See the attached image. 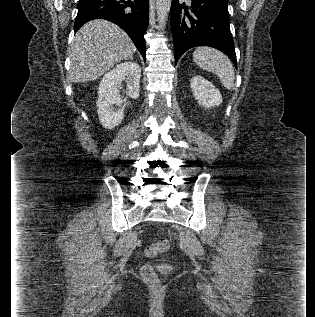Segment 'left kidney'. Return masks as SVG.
<instances>
[{
  "label": "left kidney",
  "instance_id": "1",
  "mask_svg": "<svg viewBox=\"0 0 315 317\" xmlns=\"http://www.w3.org/2000/svg\"><path fill=\"white\" fill-rule=\"evenodd\" d=\"M190 86L199 105L209 109L222 103L220 91L204 77L200 75L192 77Z\"/></svg>",
  "mask_w": 315,
  "mask_h": 317
}]
</instances>
